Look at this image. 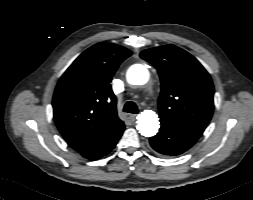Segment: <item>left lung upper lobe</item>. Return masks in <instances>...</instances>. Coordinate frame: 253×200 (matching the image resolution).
I'll list each match as a JSON object with an SVG mask.
<instances>
[{
	"mask_svg": "<svg viewBox=\"0 0 253 200\" xmlns=\"http://www.w3.org/2000/svg\"><path fill=\"white\" fill-rule=\"evenodd\" d=\"M140 57L155 66L161 79L160 115L205 129L214 108V86L205 68L174 45L144 50Z\"/></svg>",
	"mask_w": 253,
	"mask_h": 200,
	"instance_id": "1",
	"label": "left lung upper lobe"
}]
</instances>
